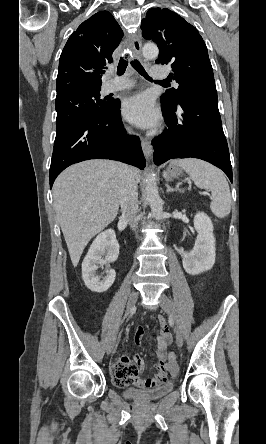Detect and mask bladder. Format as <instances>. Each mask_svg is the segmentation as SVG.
<instances>
[{"label": "bladder", "instance_id": "obj_1", "mask_svg": "<svg viewBox=\"0 0 266 444\" xmlns=\"http://www.w3.org/2000/svg\"><path fill=\"white\" fill-rule=\"evenodd\" d=\"M172 390H173V384L166 383L154 388H145V389H138L134 387L126 388L123 391V394L125 397L135 401L148 402V401L158 400L164 397L165 395L169 394Z\"/></svg>", "mask_w": 266, "mask_h": 444}]
</instances>
